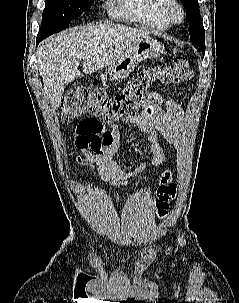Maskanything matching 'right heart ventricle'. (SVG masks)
Instances as JSON below:
<instances>
[{
  "label": "right heart ventricle",
  "instance_id": "obj_1",
  "mask_svg": "<svg viewBox=\"0 0 239 303\" xmlns=\"http://www.w3.org/2000/svg\"><path fill=\"white\" fill-rule=\"evenodd\" d=\"M111 2L114 15L144 28L162 31L170 25L160 12L164 0H111Z\"/></svg>",
  "mask_w": 239,
  "mask_h": 303
}]
</instances>
